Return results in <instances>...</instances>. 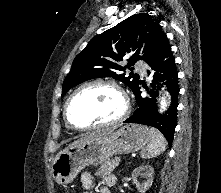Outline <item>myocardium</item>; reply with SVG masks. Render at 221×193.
<instances>
[{"label":"myocardium","mask_w":221,"mask_h":193,"mask_svg":"<svg viewBox=\"0 0 221 193\" xmlns=\"http://www.w3.org/2000/svg\"><path fill=\"white\" fill-rule=\"evenodd\" d=\"M93 85H105V86H110L113 89H115L122 98L123 109H122L121 113L119 114V116L116 117L115 119L111 120V121H108V122H105V123L93 124V125L84 126V127L83 126H78L74 122H72V120L69 117L70 104H71L72 100L74 99V97L81 90H83L86 87L93 86ZM129 112H130V103H129V99H128L127 94L124 91V89L117 82H115L114 80L102 79V78L92 79V80H89V81H86V82L80 84L69 95V97L67 98V100L65 102V105H64V119H65L66 125L69 128L73 129V130L81 131V132L117 126V125L121 124L127 118Z\"/></svg>","instance_id":"myocardium-1"}]
</instances>
